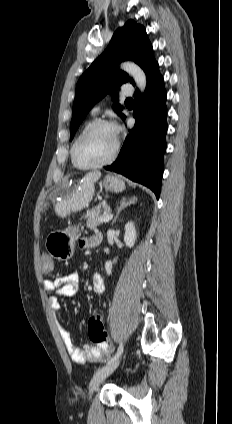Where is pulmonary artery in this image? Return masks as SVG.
Returning a JSON list of instances; mask_svg holds the SVG:
<instances>
[{
  "instance_id": "1",
  "label": "pulmonary artery",
  "mask_w": 232,
  "mask_h": 424,
  "mask_svg": "<svg viewBox=\"0 0 232 424\" xmlns=\"http://www.w3.org/2000/svg\"><path fill=\"white\" fill-rule=\"evenodd\" d=\"M133 92H134L133 87L130 84H124L123 85V87H122V95H124V96H130V95L133 94ZM99 110H100V106L99 105L94 106L92 108V113L93 114H96V113L99 112Z\"/></svg>"
}]
</instances>
